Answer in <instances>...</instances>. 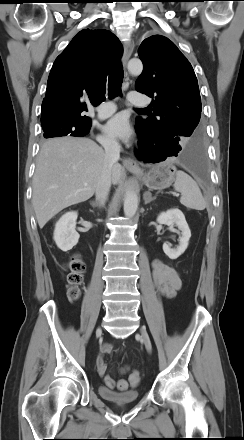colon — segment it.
I'll use <instances>...</instances> for the list:
<instances>
[{"instance_id":"obj_1","label":"colon","mask_w":244,"mask_h":440,"mask_svg":"<svg viewBox=\"0 0 244 440\" xmlns=\"http://www.w3.org/2000/svg\"><path fill=\"white\" fill-rule=\"evenodd\" d=\"M65 279L67 283V295L70 300H76L79 296V285L83 281L85 272V264L78 255H73L65 265ZM130 384L136 387L139 384L140 376L137 371H133L129 378ZM104 383L109 388H117L118 390H126L128 382L124 379L115 380L111 376L104 377Z\"/></svg>"}]
</instances>
